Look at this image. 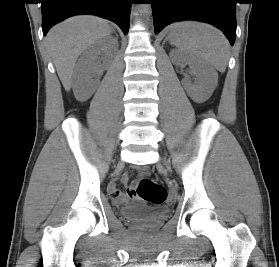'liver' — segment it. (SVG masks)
I'll use <instances>...</instances> for the list:
<instances>
[{"mask_svg":"<svg viewBox=\"0 0 279 267\" xmlns=\"http://www.w3.org/2000/svg\"><path fill=\"white\" fill-rule=\"evenodd\" d=\"M111 32L112 28L107 20L89 15L71 17L48 32L46 45L67 91L72 86V74L79 55Z\"/></svg>","mask_w":279,"mask_h":267,"instance_id":"liver-1","label":"liver"}]
</instances>
